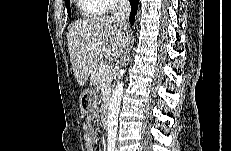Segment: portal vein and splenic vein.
<instances>
[{
  "label": "portal vein and splenic vein",
  "mask_w": 231,
  "mask_h": 151,
  "mask_svg": "<svg viewBox=\"0 0 231 151\" xmlns=\"http://www.w3.org/2000/svg\"><path fill=\"white\" fill-rule=\"evenodd\" d=\"M99 45H101V44H94V45H92V48L98 47ZM108 71H109V69H108V66H107V65L101 64V65L99 66V72H100L101 74H104V73H106V72H108Z\"/></svg>",
  "instance_id": "obj_1"
}]
</instances>
